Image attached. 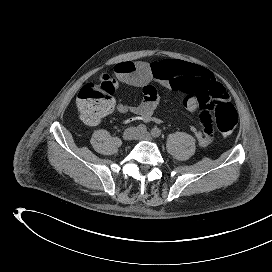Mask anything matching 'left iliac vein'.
<instances>
[{
	"label": "left iliac vein",
	"instance_id": "1",
	"mask_svg": "<svg viewBox=\"0 0 272 272\" xmlns=\"http://www.w3.org/2000/svg\"><path fill=\"white\" fill-rule=\"evenodd\" d=\"M137 139H142V140H147V141H152L153 137L150 133L144 132V133H137Z\"/></svg>",
	"mask_w": 272,
	"mask_h": 272
}]
</instances>
